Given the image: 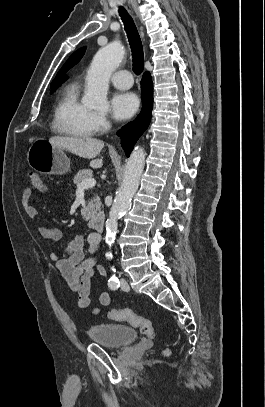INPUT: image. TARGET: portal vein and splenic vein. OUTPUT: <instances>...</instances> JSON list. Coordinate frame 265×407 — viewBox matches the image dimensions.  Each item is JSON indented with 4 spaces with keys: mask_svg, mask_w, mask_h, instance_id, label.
Masks as SVG:
<instances>
[{
    "mask_svg": "<svg viewBox=\"0 0 265 407\" xmlns=\"http://www.w3.org/2000/svg\"><path fill=\"white\" fill-rule=\"evenodd\" d=\"M95 185H96L95 179L91 178V179H86V180L82 181L79 188L80 189H88V188L94 187Z\"/></svg>",
    "mask_w": 265,
    "mask_h": 407,
    "instance_id": "obj_1",
    "label": "portal vein and splenic vein"
}]
</instances>
